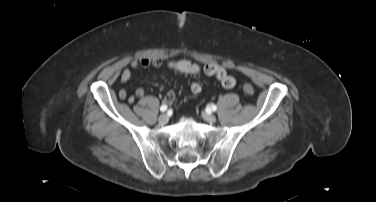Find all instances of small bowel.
<instances>
[{"label": "small bowel", "instance_id": "1", "mask_svg": "<svg viewBox=\"0 0 376 202\" xmlns=\"http://www.w3.org/2000/svg\"><path fill=\"white\" fill-rule=\"evenodd\" d=\"M162 66V61L158 58H141L133 60L131 62V68L136 70L138 68H159ZM166 69L170 73H178L184 75L195 76L200 73H204L208 76H215L222 86L226 88H232L236 84L234 77L229 75L225 68L214 64H206L205 66H199L198 64L192 63L188 60H178V61H168L165 64ZM132 76V72L129 68L122 70L120 74V80L123 83H127ZM191 91L193 94H199L201 92V87L198 83L191 84ZM145 95V90L142 87L137 88L134 94L128 95L125 89H120L118 91V96L120 99L127 101L128 103H133L136 98H141ZM175 100V93L170 90L165 94L164 102L166 104H172Z\"/></svg>", "mask_w": 376, "mask_h": 202}]
</instances>
